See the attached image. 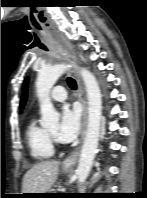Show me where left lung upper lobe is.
Returning <instances> with one entry per match:
<instances>
[{
  "label": "left lung upper lobe",
  "instance_id": "5c2ea615",
  "mask_svg": "<svg viewBox=\"0 0 147 198\" xmlns=\"http://www.w3.org/2000/svg\"><path fill=\"white\" fill-rule=\"evenodd\" d=\"M27 88H28V78L24 81V85H23L24 95H26Z\"/></svg>",
  "mask_w": 147,
  "mask_h": 198
}]
</instances>
